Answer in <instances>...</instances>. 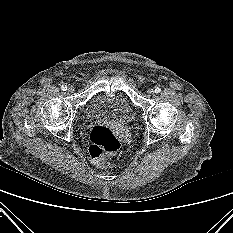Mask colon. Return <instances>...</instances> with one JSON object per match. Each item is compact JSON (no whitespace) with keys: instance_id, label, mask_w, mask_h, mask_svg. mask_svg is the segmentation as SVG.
<instances>
[{"instance_id":"1","label":"colon","mask_w":233,"mask_h":233,"mask_svg":"<svg viewBox=\"0 0 233 233\" xmlns=\"http://www.w3.org/2000/svg\"><path fill=\"white\" fill-rule=\"evenodd\" d=\"M121 140L108 126L95 125L90 132L89 154L97 166H109L105 159L115 155L121 148Z\"/></svg>"}]
</instances>
